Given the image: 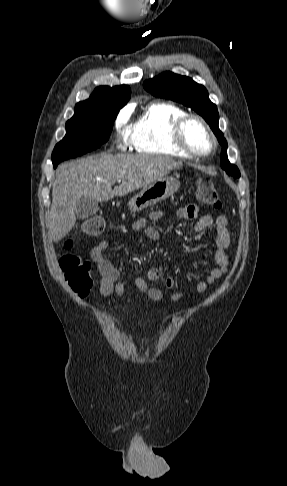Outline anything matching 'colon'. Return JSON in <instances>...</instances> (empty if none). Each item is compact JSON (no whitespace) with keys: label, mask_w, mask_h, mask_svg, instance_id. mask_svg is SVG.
<instances>
[{"label":"colon","mask_w":287,"mask_h":486,"mask_svg":"<svg viewBox=\"0 0 287 486\" xmlns=\"http://www.w3.org/2000/svg\"><path fill=\"white\" fill-rule=\"evenodd\" d=\"M196 195L199 201L210 207L219 209L221 199L211 179L201 177L196 181ZM105 220L100 216H93L85 220L81 230L85 235L98 236L105 229ZM70 243L66 247L69 248ZM60 267L71 289L83 297L89 294L94 284V273L91 264L81 257L66 253L59 260Z\"/></svg>","instance_id":"obj_1"}]
</instances>
